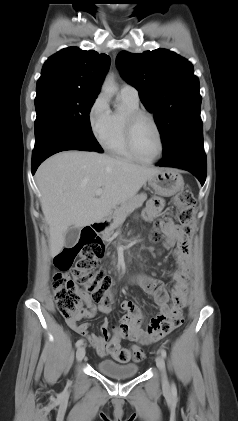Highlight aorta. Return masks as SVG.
<instances>
[{
    "label": "aorta",
    "instance_id": "762f6f07",
    "mask_svg": "<svg viewBox=\"0 0 238 421\" xmlns=\"http://www.w3.org/2000/svg\"><path fill=\"white\" fill-rule=\"evenodd\" d=\"M102 90L106 94H109V95H112L117 91V87H116L113 76L109 75V76L106 77V79L103 83V86H102Z\"/></svg>",
    "mask_w": 238,
    "mask_h": 421
}]
</instances>
